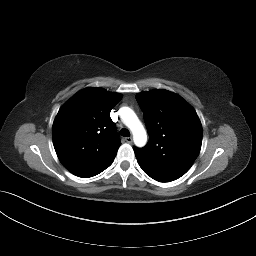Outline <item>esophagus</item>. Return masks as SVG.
<instances>
[{"instance_id":"obj_1","label":"esophagus","mask_w":256,"mask_h":256,"mask_svg":"<svg viewBox=\"0 0 256 256\" xmlns=\"http://www.w3.org/2000/svg\"><path fill=\"white\" fill-rule=\"evenodd\" d=\"M125 140L127 143H132V141H133L132 137H127V138H125Z\"/></svg>"}]
</instances>
